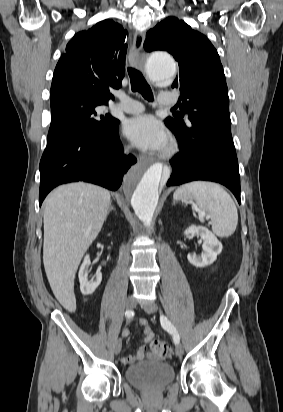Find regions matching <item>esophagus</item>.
Wrapping results in <instances>:
<instances>
[{"instance_id": "esophagus-1", "label": "esophagus", "mask_w": 283, "mask_h": 412, "mask_svg": "<svg viewBox=\"0 0 283 412\" xmlns=\"http://www.w3.org/2000/svg\"><path fill=\"white\" fill-rule=\"evenodd\" d=\"M144 33L141 31H136L133 37V44L129 52V62L132 66L136 68H142L144 63V58L141 57V52L144 44Z\"/></svg>"}]
</instances>
